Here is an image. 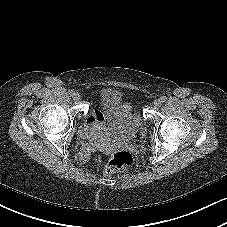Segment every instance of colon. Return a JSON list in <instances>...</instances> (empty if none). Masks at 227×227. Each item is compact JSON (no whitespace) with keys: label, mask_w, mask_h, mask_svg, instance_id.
<instances>
[{"label":"colon","mask_w":227,"mask_h":227,"mask_svg":"<svg viewBox=\"0 0 227 227\" xmlns=\"http://www.w3.org/2000/svg\"><path fill=\"white\" fill-rule=\"evenodd\" d=\"M142 135L144 136L145 130L143 129ZM135 155L132 152L122 150L114 153L109 160L106 162L104 166V173L107 176H112L116 171L120 169L127 168L134 164ZM96 161H99L100 158L98 156L95 157Z\"/></svg>","instance_id":"obj_1"}]
</instances>
